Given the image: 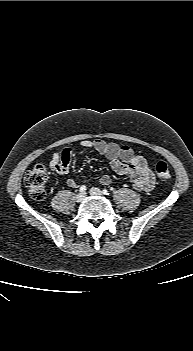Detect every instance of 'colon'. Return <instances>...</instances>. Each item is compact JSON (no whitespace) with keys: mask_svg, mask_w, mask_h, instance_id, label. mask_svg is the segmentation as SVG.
Masks as SVG:
<instances>
[{"mask_svg":"<svg viewBox=\"0 0 193 351\" xmlns=\"http://www.w3.org/2000/svg\"><path fill=\"white\" fill-rule=\"evenodd\" d=\"M155 172L158 179L162 182L168 183L171 181L172 174L168 165L163 161H158L155 164ZM48 173L44 165H36L25 176V186L30 195L35 200H42L46 196V181Z\"/></svg>","mask_w":193,"mask_h":351,"instance_id":"colon-1","label":"colon"}]
</instances>
